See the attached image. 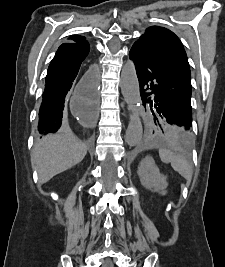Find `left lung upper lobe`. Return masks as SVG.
<instances>
[{
	"label": "left lung upper lobe",
	"mask_w": 225,
	"mask_h": 267,
	"mask_svg": "<svg viewBox=\"0 0 225 267\" xmlns=\"http://www.w3.org/2000/svg\"><path fill=\"white\" fill-rule=\"evenodd\" d=\"M141 39L148 41L157 49L178 53L187 58L180 39L166 28L159 26L149 27ZM154 117L156 118V120L154 118L155 125L164 135L183 146L191 143L192 136L186 127L177 125L169 120H161L155 114Z\"/></svg>",
	"instance_id": "left-lung-upper-lobe-1"
}]
</instances>
